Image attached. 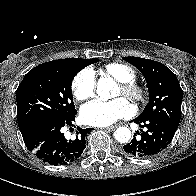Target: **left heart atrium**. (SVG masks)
<instances>
[{
    "instance_id": "1",
    "label": "left heart atrium",
    "mask_w": 196,
    "mask_h": 196,
    "mask_svg": "<svg viewBox=\"0 0 196 196\" xmlns=\"http://www.w3.org/2000/svg\"><path fill=\"white\" fill-rule=\"evenodd\" d=\"M133 107L123 98L110 101L93 100L82 106L81 120L91 126H108L132 115Z\"/></svg>"
}]
</instances>
